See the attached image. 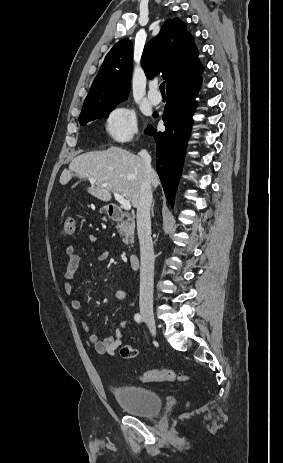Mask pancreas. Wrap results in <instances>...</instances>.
I'll return each instance as SVG.
<instances>
[{
  "label": "pancreas",
  "instance_id": "obj_1",
  "mask_svg": "<svg viewBox=\"0 0 283 463\" xmlns=\"http://www.w3.org/2000/svg\"><path fill=\"white\" fill-rule=\"evenodd\" d=\"M117 230L120 236L122 237V241L127 245L129 242H134V230H135V222L134 220H127L123 221L122 223L117 225Z\"/></svg>",
  "mask_w": 283,
  "mask_h": 463
}]
</instances>
